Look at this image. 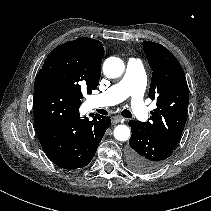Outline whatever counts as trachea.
I'll return each mask as SVG.
<instances>
[{"label":"trachea","mask_w":211,"mask_h":211,"mask_svg":"<svg viewBox=\"0 0 211 211\" xmlns=\"http://www.w3.org/2000/svg\"><path fill=\"white\" fill-rule=\"evenodd\" d=\"M122 116L125 117V118H131L132 117V114L129 110L125 109L121 112Z\"/></svg>","instance_id":"3493384b"}]
</instances>
